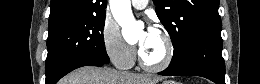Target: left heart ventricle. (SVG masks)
<instances>
[{
	"label": "left heart ventricle",
	"instance_id": "b2bd125f",
	"mask_svg": "<svg viewBox=\"0 0 260 84\" xmlns=\"http://www.w3.org/2000/svg\"><path fill=\"white\" fill-rule=\"evenodd\" d=\"M145 35L142 33L138 38L140 54L148 64H158L165 56L166 47L160 35L157 34L148 44L140 47L144 42Z\"/></svg>",
	"mask_w": 260,
	"mask_h": 84
}]
</instances>
